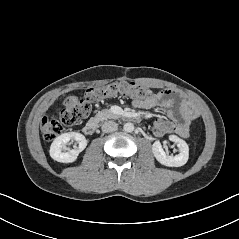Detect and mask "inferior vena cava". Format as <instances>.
<instances>
[{"label": "inferior vena cava", "instance_id": "602c4592", "mask_svg": "<svg viewBox=\"0 0 239 239\" xmlns=\"http://www.w3.org/2000/svg\"><path fill=\"white\" fill-rule=\"evenodd\" d=\"M101 128L103 132L111 133L118 129V125L114 121H105Z\"/></svg>", "mask_w": 239, "mask_h": 239}]
</instances>
